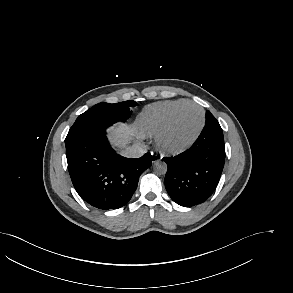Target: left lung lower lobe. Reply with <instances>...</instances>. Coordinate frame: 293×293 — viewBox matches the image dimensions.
Wrapping results in <instances>:
<instances>
[{"label":"left lung lower lobe","instance_id":"1","mask_svg":"<svg viewBox=\"0 0 293 293\" xmlns=\"http://www.w3.org/2000/svg\"><path fill=\"white\" fill-rule=\"evenodd\" d=\"M163 160L168 165L165 187L172 200L184 207L204 202L217 187L225 162L219 123L210 120L188 150Z\"/></svg>","mask_w":293,"mask_h":293}]
</instances>
